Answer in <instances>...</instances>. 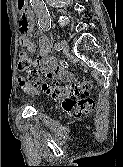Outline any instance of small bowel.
Wrapping results in <instances>:
<instances>
[{
	"label": "small bowel",
	"instance_id": "small-bowel-1",
	"mask_svg": "<svg viewBox=\"0 0 123 167\" xmlns=\"http://www.w3.org/2000/svg\"><path fill=\"white\" fill-rule=\"evenodd\" d=\"M18 9H25L26 0H17ZM20 38L19 42L21 46L25 47L29 52H33L36 49V44L30 40V35L33 32L34 24L29 12L22 13V17L19 22ZM40 51L37 57L32 61V65L38 67L43 73L53 78L69 79V73L58 66L56 60L49 56L50 41L47 36L42 35L39 39ZM19 86L23 92L37 93L35 87L28 84L23 78L19 79Z\"/></svg>",
	"mask_w": 123,
	"mask_h": 167
}]
</instances>
